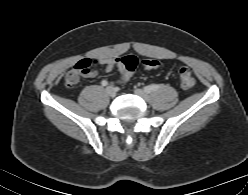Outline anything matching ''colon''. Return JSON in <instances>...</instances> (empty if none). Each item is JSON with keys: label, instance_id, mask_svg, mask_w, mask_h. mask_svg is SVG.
<instances>
[{"label": "colon", "instance_id": "colon-1", "mask_svg": "<svg viewBox=\"0 0 248 195\" xmlns=\"http://www.w3.org/2000/svg\"><path fill=\"white\" fill-rule=\"evenodd\" d=\"M121 63L125 72L124 81L129 80L133 72L137 68L138 59L135 56L128 55L121 58ZM90 60L79 61L66 76V86L75 87L82 75H85L90 70ZM142 65L147 69H156L163 65V61L159 59H145L142 61ZM179 82L183 89H190L195 84V77L193 72L187 66H181L179 68Z\"/></svg>", "mask_w": 248, "mask_h": 195}]
</instances>
